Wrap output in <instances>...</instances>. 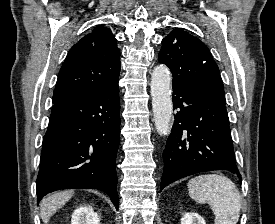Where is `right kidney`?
<instances>
[{"instance_id": "1", "label": "right kidney", "mask_w": 275, "mask_h": 224, "mask_svg": "<svg viewBox=\"0 0 275 224\" xmlns=\"http://www.w3.org/2000/svg\"><path fill=\"white\" fill-rule=\"evenodd\" d=\"M99 216L91 206L79 207L72 214L71 224H99Z\"/></svg>"}]
</instances>
